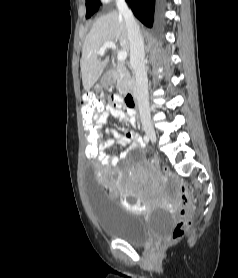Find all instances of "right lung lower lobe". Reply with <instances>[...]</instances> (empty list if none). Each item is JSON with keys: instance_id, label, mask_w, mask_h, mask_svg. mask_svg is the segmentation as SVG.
Returning <instances> with one entry per match:
<instances>
[{"instance_id": "1", "label": "right lung lower lobe", "mask_w": 238, "mask_h": 278, "mask_svg": "<svg viewBox=\"0 0 238 278\" xmlns=\"http://www.w3.org/2000/svg\"><path fill=\"white\" fill-rule=\"evenodd\" d=\"M134 15L147 27L151 28L154 18L155 0H126Z\"/></svg>"}]
</instances>
